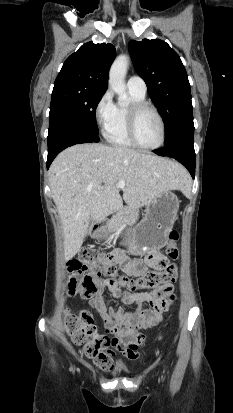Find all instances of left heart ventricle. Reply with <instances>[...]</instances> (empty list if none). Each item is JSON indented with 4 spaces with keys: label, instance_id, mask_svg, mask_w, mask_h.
<instances>
[{
    "label": "left heart ventricle",
    "instance_id": "1",
    "mask_svg": "<svg viewBox=\"0 0 233 413\" xmlns=\"http://www.w3.org/2000/svg\"><path fill=\"white\" fill-rule=\"evenodd\" d=\"M137 136L145 146H155L161 139V125L151 110L144 111L137 123Z\"/></svg>",
    "mask_w": 233,
    "mask_h": 413
}]
</instances>
